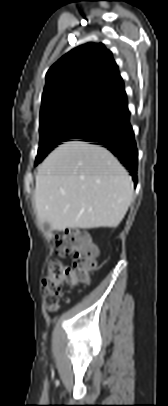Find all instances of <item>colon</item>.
I'll return each instance as SVG.
<instances>
[{"label":"colon","instance_id":"1","mask_svg":"<svg viewBox=\"0 0 168 406\" xmlns=\"http://www.w3.org/2000/svg\"><path fill=\"white\" fill-rule=\"evenodd\" d=\"M55 247L59 256H73L74 261L69 265L53 260L48 265L42 287L47 307L51 311L57 309L64 287L90 282L96 270L98 255L97 248L88 236L76 229L60 232L56 237Z\"/></svg>","mask_w":168,"mask_h":406}]
</instances>
